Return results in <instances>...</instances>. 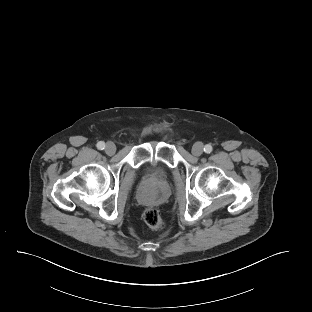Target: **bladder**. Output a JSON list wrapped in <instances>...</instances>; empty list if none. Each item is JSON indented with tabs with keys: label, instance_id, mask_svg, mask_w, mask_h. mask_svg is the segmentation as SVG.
<instances>
[{
	"label": "bladder",
	"instance_id": "obj_1",
	"mask_svg": "<svg viewBox=\"0 0 312 312\" xmlns=\"http://www.w3.org/2000/svg\"><path fill=\"white\" fill-rule=\"evenodd\" d=\"M166 174H167L166 171L160 170V169H156V168L151 169L149 171V175L152 176V177H155L157 179L165 178Z\"/></svg>",
	"mask_w": 312,
	"mask_h": 312
}]
</instances>
